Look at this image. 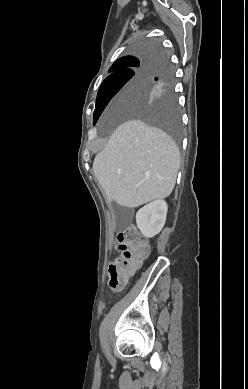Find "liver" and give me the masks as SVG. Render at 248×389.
<instances>
[{
	"label": "liver",
	"mask_w": 248,
	"mask_h": 389,
	"mask_svg": "<svg viewBox=\"0 0 248 389\" xmlns=\"http://www.w3.org/2000/svg\"><path fill=\"white\" fill-rule=\"evenodd\" d=\"M135 91L124 88L115 102L129 106ZM180 152L164 131L140 120L121 124L96 155L93 172L108 201L135 208L168 197L176 183Z\"/></svg>",
	"instance_id": "liver-1"
}]
</instances>
